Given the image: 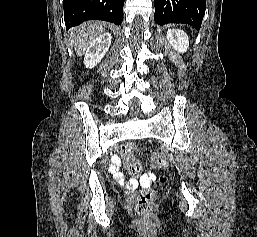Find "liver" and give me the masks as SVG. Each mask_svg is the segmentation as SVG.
<instances>
[{
	"label": "liver",
	"mask_w": 257,
	"mask_h": 237,
	"mask_svg": "<svg viewBox=\"0 0 257 237\" xmlns=\"http://www.w3.org/2000/svg\"><path fill=\"white\" fill-rule=\"evenodd\" d=\"M105 29L100 22H87L71 32L74 38V49L78 56L85 53L89 45L97 36L101 35Z\"/></svg>",
	"instance_id": "liver-1"
}]
</instances>
